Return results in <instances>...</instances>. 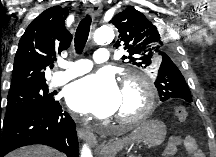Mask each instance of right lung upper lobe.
<instances>
[{
	"label": "right lung upper lobe",
	"mask_w": 216,
	"mask_h": 157,
	"mask_svg": "<svg viewBox=\"0 0 216 157\" xmlns=\"http://www.w3.org/2000/svg\"><path fill=\"white\" fill-rule=\"evenodd\" d=\"M68 14L66 8L54 6L30 23L18 44L9 92L46 85L44 70L72 41L65 27Z\"/></svg>",
	"instance_id": "cb5924a9"
}]
</instances>
